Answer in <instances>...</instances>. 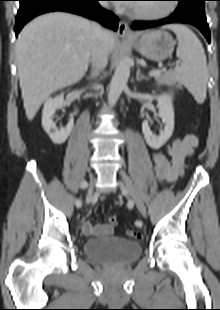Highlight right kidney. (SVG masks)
Wrapping results in <instances>:
<instances>
[{"label":"right kidney","mask_w":220,"mask_h":310,"mask_svg":"<svg viewBox=\"0 0 220 310\" xmlns=\"http://www.w3.org/2000/svg\"><path fill=\"white\" fill-rule=\"evenodd\" d=\"M64 106V95L60 94L56 95L54 98L50 97L46 99L43 107L42 126L52 142L56 145H61L67 140L74 125L73 117L69 119L68 124L64 128L58 129L53 122V116L56 110Z\"/></svg>","instance_id":"ca27d5eb"}]
</instances>
